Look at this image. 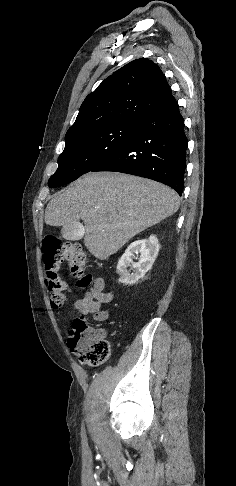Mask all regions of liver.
<instances>
[{
	"mask_svg": "<svg viewBox=\"0 0 236 486\" xmlns=\"http://www.w3.org/2000/svg\"><path fill=\"white\" fill-rule=\"evenodd\" d=\"M171 188L118 172H90L57 196L45 210V223L63 226L84 221V244L100 260L115 254L132 237L177 212Z\"/></svg>",
	"mask_w": 236,
	"mask_h": 486,
	"instance_id": "1",
	"label": "liver"
}]
</instances>
